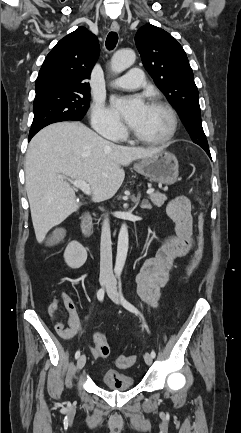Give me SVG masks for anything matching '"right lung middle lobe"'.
Returning a JSON list of instances; mask_svg holds the SVG:
<instances>
[{
  "label": "right lung middle lobe",
  "instance_id": "obj_1",
  "mask_svg": "<svg viewBox=\"0 0 241 433\" xmlns=\"http://www.w3.org/2000/svg\"><path fill=\"white\" fill-rule=\"evenodd\" d=\"M89 106V93L48 94L36 97L33 103L34 119L30 133H37L43 127L61 121H80Z\"/></svg>",
  "mask_w": 241,
  "mask_h": 433
}]
</instances>
